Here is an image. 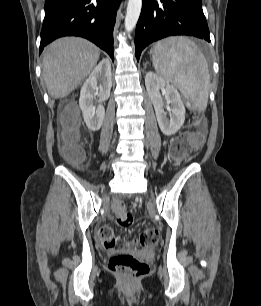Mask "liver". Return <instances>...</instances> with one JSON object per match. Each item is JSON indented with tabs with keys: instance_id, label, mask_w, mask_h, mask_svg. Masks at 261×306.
Instances as JSON below:
<instances>
[{
	"instance_id": "6515ba94",
	"label": "liver",
	"mask_w": 261,
	"mask_h": 306,
	"mask_svg": "<svg viewBox=\"0 0 261 306\" xmlns=\"http://www.w3.org/2000/svg\"><path fill=\"white\" fill-rule=\"evenodd\" d=\"M100 57V49L78 37L51 43L43 56V77L49 95L62 99L88 77Z\"/></svg>"
}]
</instances>
